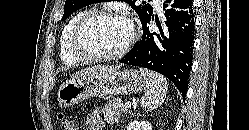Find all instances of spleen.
I'll return each mask as SVG.
<instances>
[{
	"label": "spleen",
	"instance_id": "3e777b00",
	"mask_svg": "<svg viewBox=\"0 0 249 130\" xmlns=\"http://www.w3.org/2000/svg\"><path fill=\"white\" fill-rule=\"evenodd\" d=\"M146 79L147 90L141 98V106L145 111H151L160 106L167 93L168 85L166 78L157 72L141 69Z\"/></svg>",
	"mask_w": 249,
	"mask_h": 130
}]
</instances>
